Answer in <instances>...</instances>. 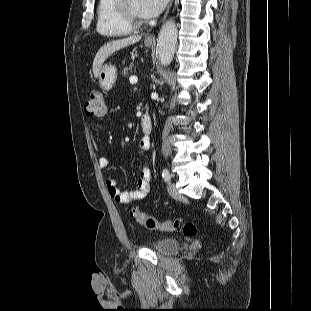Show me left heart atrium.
Listing matches in <instances>:
<instances>
[{"label": "left heart atrium", "instance_id": "obj_1", "mask_svg": "<svg viewBox=\"0 0 311 311\" xmlns=\"http://www.w3.org/2000/svg\"><path fill=\"white\" fill-rule=\"evenodd\" d=\"M168 0H140L139 12L143 18H153L166 7Z\"/></svg>", "mask_w": 311, "mask_h": 311}]
</instances>
